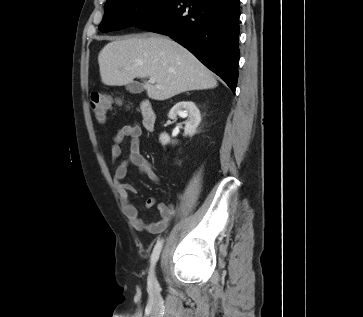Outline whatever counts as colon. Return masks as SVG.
Masks as SVG:
<instances>
[{"label": "colon", "mask_w": 363, "mask_h": 317, "mask_svg": "<svg viewBox=\"0 0 363 317\" xmlns=\"http://www.w3.org/2000/svg\"><path fill=\"white\" fill-rule=\"evenodd\" d=\"M114 102H119V100L103 93L94 92L91 94L89 104L95 118L104 122L107 118V112Z\"/></svg>", "instance_id": "obj_1"}]
</instances>
